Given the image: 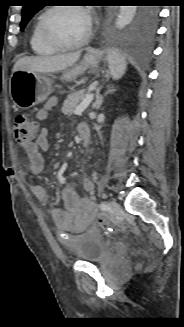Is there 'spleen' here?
Here are the masks:
<instances>
[{
    "instance_id": "obj_1",
    "label": "spleen",
    "mask_w": 184,
    "mask_h": 327,
    "mask_svg": "<svg viewBox=\"0 0 184 327\" xmlns=\"http://www.w3.org/2000/svg\"><path fill=\"white\" fill-rule=\"evenodd\" d=\"M109 63V71L113 79H119L126 71L125 60L115 51H111L107 55Z\"/></svg>"
}]
</instances>
